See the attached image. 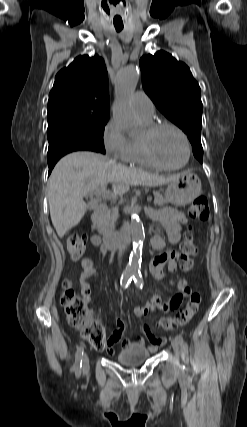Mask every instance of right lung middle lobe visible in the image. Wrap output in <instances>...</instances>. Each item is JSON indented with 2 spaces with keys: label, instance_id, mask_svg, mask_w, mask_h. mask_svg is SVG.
Returning a JSON list of instances; mask_svg holds the SVG:
<instances>
[{
  "label": "right lung middle lobe",
  "instance_id": "1",
  "mask_svg": "<svg viewBox=\"0 0 247 427\" xmlns=\"http://www.w3.org/2000/svg\"><path fill=\"white\" fill-rule=\"evenodd\" d=\"M109 110L66 108L48 114V141L74 139L95 147L105 153L104 127Z\"/></svg>",
  "mask_w": 247,
  "mask_h": 427
}]
</instances>
